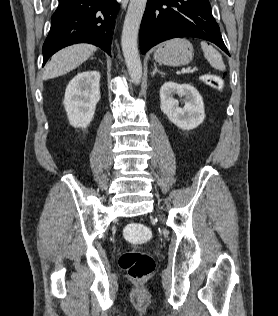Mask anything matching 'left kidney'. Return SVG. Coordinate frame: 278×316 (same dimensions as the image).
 <instances>
[{
	"instance_id": "left-kidney-1",
	"label": "left kidney",
	"mask_w": 278,
	"mask_h": 316,
	"mask_svg": "<svg viewBox=\"0 0 278 316\" xmlns=\"http://www.w3.org/2000/svg\"><path fill=\"white\" fill-rule=\"evenodd\" d=\"M185 97L183 108L178 107L174 95ZM161 111L169 120L183 130H191L203 123L205 118L204 103L201 95L189 84L165 82L160 89Z\"/></svg>"
}]
</instances>
